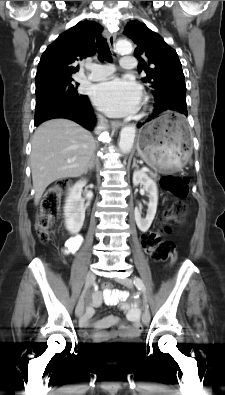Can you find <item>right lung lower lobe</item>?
Returning <instances> with one entry per match:
<instances>
[{
	"label": "right lung lower lobe",
	"instance_id": "right-lung-lower-lobe-1",
	"mask_svg": "<svg viewBox=\"0 0 225 395\" xmlns=\"http://www.w3.org/2000/svg\"><path fill=\"white\" fill-rule=\"evenodd\" d=\"M53 118L70 119L89 130L95 126L96 120L89 99L84 95L80 97H60L35 109L34 125L37 126Z\"/></svg>",
	"mask_w": 225,
	"mask_h": 395
}]
</instances>
